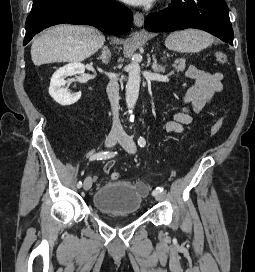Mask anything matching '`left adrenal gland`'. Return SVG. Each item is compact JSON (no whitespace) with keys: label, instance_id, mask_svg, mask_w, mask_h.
Returning <instances> with one entry per match:
<instances>
[{"label":"left adrenal gland","instance_id":"obj_1","mask_svg":"<svg viewBox=\"0 0 255 272\" xmlns=\"http://www.w3.org/2000/svg\"><path fill=\"white\" fill-rule=\"evenodd\" d=\"M152 59H153V64H152V69L154 72H159V73H164L165 72V67L162 65H159L157 63V59H156V55H152Z\"/></svg>","mask_w":255,"mask_h":272}]
</instances>
